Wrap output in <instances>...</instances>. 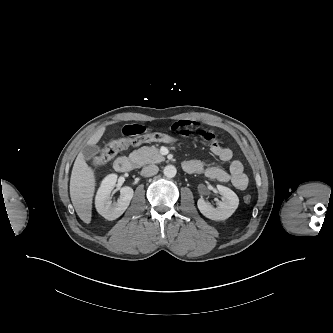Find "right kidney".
Instances as JSON below:
<instances>
[{"label": "right kidney", "instance_id": "ca27d5eb", "mask_svg": "<svg viewBox=\"0 0 333 333\" xmlns=\"http://www.w3.org/2000/svg\"><path fill=\"white\" fill-rule=\"evenodd\" d=\"M117 181V175H108L101 183L95 199V206L100 215L107 220H115L120 217L128 208L133 197V189L131 187L121 188L120 197L116 202L111 201V192Z\"/></svg>", "mask_w": 333, "mask_h": 333}]
</instances>
